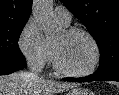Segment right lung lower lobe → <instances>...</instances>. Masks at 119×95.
I'll return each mask as SVG.
<instances>
[{"label": "right lung lower lobe", "mask_w": 119, "mask_h": 95, "mask_svg": "<svg viewBox=\"0 0 119 95\" xmlns=\"http://www.w3.org/2000/svg\"><path fill=\"white\" fill-rule=\"evenodd\" d=\"M26 66L25 62L0 61V75L11 74Z\"/></svg>", "instance_id": "1"}]
</instances>
